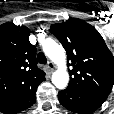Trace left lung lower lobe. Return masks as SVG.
Returning a JSON list of instances; mask_svg holds the SVG:
<instances>
[{
    "mask_svg": "<svg viewBox=\"0 0 114 114\" xmlns=\"http://www.w3.org/2000/svg\"><path fill=\"white\" fill-rule=\"evenodd\" d=\"M107 97L91 92L66 88L58 93L60 103L68 110L78 114H90L97 110Z\"/></svg>",
    "mask_w": 114,
    "mask_h": 114,
    "instance_id": "1",
    "label": "left lung lower lobe"
}]
</instances>
